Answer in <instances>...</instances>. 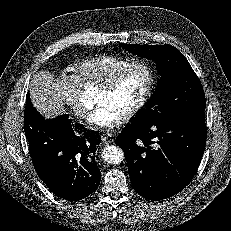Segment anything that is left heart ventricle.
I'll list each match as a JSON object with an SVG mask.
<instances>
[{"mask_svg":"<svg viewBox=\"0 0 231 231\" xmlns=\"http://www.w3.org/2000/svg\"><path fill=\"white\" fill-rule=\"evenodd\" d=\"M148 84V74L145 69H131L112 92L99 90L97 102H108L123 115L126 114L142 97Z\"/></svg>","mask_w":231,"mask_h":231,"instance_id":"1","label":"left heart ventricle"}]
</instances>
